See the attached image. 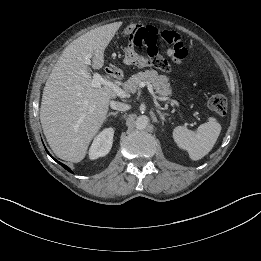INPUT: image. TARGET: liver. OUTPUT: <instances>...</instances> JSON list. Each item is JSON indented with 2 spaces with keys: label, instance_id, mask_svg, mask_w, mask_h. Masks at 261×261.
<instances>
[{
  "label": "liver",
  "instance_id": "liver-1",
  "mask_svg": "<svg viewBox=\"0 0 261 261\" xmlns=\"http://www.w3.org/2000/svg\"><path fill=\"white\" fill-rule=\"evenodd\" d=\"M114 33V27L102 26L75 39L64 49L46 81L40 121L50 148L63 160H83L106 119L110 99L116 97L108 86L92 87L85 63V57L91 54L92 67L103 66L104 50Z\"/></svg>",
  "mask_w": 261,
  "mask_h": 261
}]
</instances>
